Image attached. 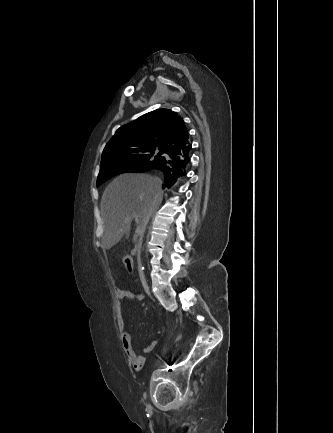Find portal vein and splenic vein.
Instances as JSON below:
<instances>
[{
  "label": "portal vein and splenic vein",
  "instance_id": "obj_1",
  "mask_svg": "<svg viewBox=\"0 0 333 433\" xmlns=\"http://www.w3.org/2000/svg\"><path fill=\"white\" fill-rule=\"evenodd\" d=\"M133 219H134V221H135L137 224L139 223L138 217H137L136 215H133ZM135 233H136L138 236L141 237V235H142V230H141L139 227H137Z\"/></svg>",
  "mask_w": 333,
  "mask_h": 433
}]
</instances>
